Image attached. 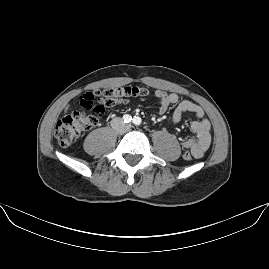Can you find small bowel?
Here are the masks:
<instances>
[{"instance_id":"c3829d8e","label":"small bowel","mask_w":269,"mask_h":269,"mask_svg":"<svg viewBox=\"0 0 269 269\" xmlns=\"http://www.w3.org/2000/svg\"><path fill=\"white\" fill-rule=\"evenodd\" d=\"M155 94L158 98L159 114L165 113L171 105L176 106L171 116L172 124H179L185 113L194 114L196 119L191 122L190 127L195 136L183 139L181 144L184 148L190 150L195 158H202L212 142L211 125L204 117L203 109L192 101L180 100L176 93H168L159 89Z\"/></svg>"}]
</instances>
